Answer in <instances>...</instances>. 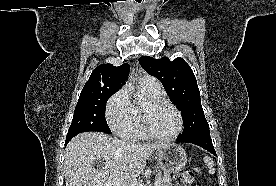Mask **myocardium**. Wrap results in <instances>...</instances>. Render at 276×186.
<instances>
[{"mask_svg":"<svg viewBox=\"0 0 276 186\" xmlns=\"http://www.w3.org/2000/svg\"><path fill=\"white\" fill-rule=\"evenodd\" d=\"M161 105H167V106L171 107L178 116V120H179L178 128L175 133H173L172 135H169V136H162V135L156 134L150 125V120H149L150 111L158 106H161ZM142 124H143L144 130H145L147 136L152 139L159 140V141L174 140L182 133V131L184 129V119H183V115H182L181 111L171 101H169L165 98H160V97L150 99L149 103L143 108Z\"/></svg>","mask_w":276,"mask_h":186,"instance_id":"f54148a6","label":"myocardium"}]
</instances>
